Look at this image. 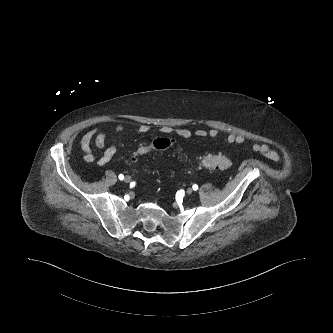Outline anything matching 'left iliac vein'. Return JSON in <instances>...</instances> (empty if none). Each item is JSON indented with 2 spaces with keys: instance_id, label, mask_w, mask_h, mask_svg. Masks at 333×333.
Listing matches in <instances>:
<instances>
[{
  "instance_id": "4c4485c4",
  "label": "left iliac vein",
  "mask_w": 333,
  "mask_h": 333,
  "mask_svg": "<svg viewBox=\"0 0 333 333\" xmlns=\"http://www.w3.org/2000/svg\"><path fill=\"white\" fill-rule=\"evenodd\" d=\"M186 193H187L188 195H191V194L193 193L192 188H188L187 191H186Z\"/></svg>"
}]
</instances>
